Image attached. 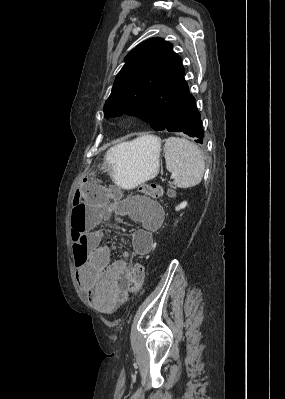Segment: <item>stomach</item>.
I'll list each match as a JSON object with an SVG mask.
<instances>
[{
  "instance_id": "stomach-1",
  "label": "stomach",
  "mask_w": 285,
  "mask_h": 399,
  "mask_svg": "<svg viewBox=\"0 0 285 399\" xmlns=\"http://www.w3.org/2000/svg\"><path fill=\"white\" fill-rule=\"evenodd\" d=\"M161 141L145 136L124 142L107 151L100 170L125 189L134 188L159 173Z\"/></svg>"
}]
</instances>
